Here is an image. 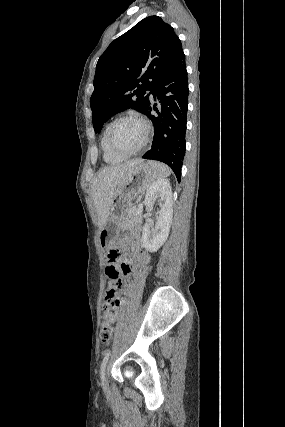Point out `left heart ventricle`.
<instances>
[{
  "mask_svg": "<svg viewBox=\"0 0 285 427\" xmlns=\"http://www.w3.org/2000/svg\"><path fill=\"white\" fill-rule=\"evenodd\" d=\"M143 138L144 128L135 120H124L119 122L112 133L114 144L125 151H131L137 148Z\"/></svg>",
  "mask_w": 285,
  "mask_h": 427,
  "instance_id": "obj_1",
  "label": "left heart ventricle"
}]
</instances>
